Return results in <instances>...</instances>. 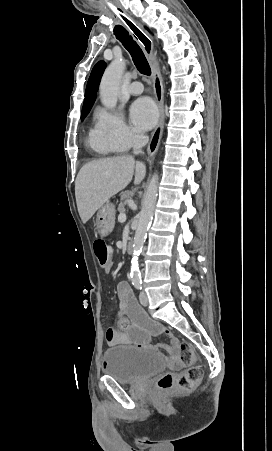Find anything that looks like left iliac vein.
<instances>
[{
  "label": "left iliac vein",
  "mask_w": 272,
  "mask_h": 451,
  "mask_svg": "<svg viewBox=\"0 0 272 451\" xmlns=\"http://www.w3.org/2000/svg\"><path fill=\"white\" fill-rule=\"evenodd\" d=\"M139 299H140V303L143 306H147L148 305V297H147V294L144 291L140 292Z\"/></svg>",
  "instance_id": "obj_1"
}]
</instances>
